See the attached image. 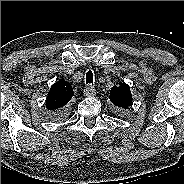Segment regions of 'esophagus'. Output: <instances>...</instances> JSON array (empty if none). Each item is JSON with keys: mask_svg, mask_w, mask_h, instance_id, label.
<instances>
[{"mask_svg": "<svg viewBox=\"0 0 184 184\" xmlns=\"http://www.w3.org/2000/svg\"><path fill=\"white\" fill-rule=\"evenodd\" d=\"M96 92L93 86L91 85H87L84 89V95L86 97H91V96H95Z\"/></svg>", "mask_w": 184, "mask_h": 184, "instance_id": "obj_1", "label": "esophagus"}]
</instances>
